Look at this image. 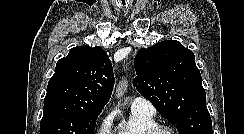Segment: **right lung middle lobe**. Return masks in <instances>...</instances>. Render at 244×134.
<instances>
[{
  "mask_svg": "<svg viewBox=\"0 0 244 134\" xmlns=\"http://www.w3.org/2000/svg\"><path fill=\"white\" fill-rule=\"evenodd\" d=\"M98 115L58 103L44 105L40 134H94Z\"/></svg>",
  "mask_w": 244,
  "mask_h": 134,
  "instance_id": "dd1d6c3e",
  "label": "right lung middle lobe"
}]
</instances>
